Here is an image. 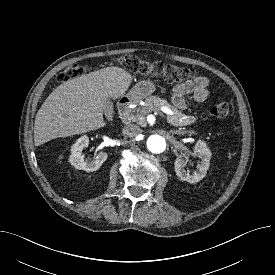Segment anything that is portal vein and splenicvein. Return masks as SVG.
<instances>
[{
	"instance_id": "portal-vein-and-splenic-vein-1",
	"label": "portal vein and splenic vein",
	"mask_w": 275,
	"mask_h": 275,
	"mask_svg": "<svg viewBox=\"0 0 275 275\" xmlns=\"http://www.w3.org/2000/svg\"><path fill=\"white\" fill-rule=\"evenodd\" d=\"M162 111L166 114H171L172 113V111L170 109L166 108V107H163Z\"/></svg>"
}]
</instances>
